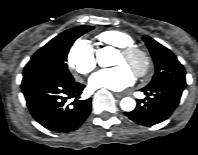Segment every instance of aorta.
<instances>
[{
  "label": "aorta",
  "mask_w": 198,
  "mask_h": 155,
  "mask_svg": "<svg viewBox=\"0 0 198 155\" xmlns=\"http://www.w3.org/2000/svg\"><path fill=\"white\" fill-rule=\"evenodd\" d=\"M116 51L114 48L107 46L102 49H99L96 52V60L101 67H109L115 64V57ZM120 106L122 110L126 112H130L135 109L136 102L134 99L130 97H125L121 100Z\"/></svg>",
  "instance_id": "obj_1"
}]
</instances>
